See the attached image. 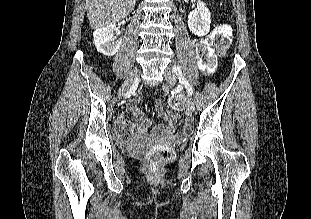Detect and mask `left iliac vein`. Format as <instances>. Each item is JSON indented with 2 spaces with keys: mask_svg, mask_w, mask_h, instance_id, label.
Listing matches in <instances>:
<instances>
[{
  "mask_svg": "<svg viewBox=\"0 0 311 219\" xmlns=\"http://www.w3.org/2000/svg\"><path fill=\"white\" fill-rule=\"evenodd\" d=\"M164 76H165L167 85L169 87H173L176 83V77H175L174 72L170 68H166L164 71ZM185 102L191 111L195 110V104H194L193 99L190 97V95H185Z\"/></svg>",
  "mask_w": 311,
  "mask_h": 219,
  "instance_id": "obj_1",
  "label": "left iliac vein"
}]
</instances>
